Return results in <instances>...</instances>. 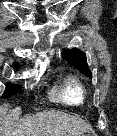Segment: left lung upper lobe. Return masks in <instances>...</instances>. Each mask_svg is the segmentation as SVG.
Here are the masks:
<instances>
[{
	"mask_svg": "<svg viewBox=\"0 0 117 136\" xmlns=\"http://www.w3.org/2000/svg\"><path fill=\"white\" fill-rule=\"evenodd\" d=\"M63 57L75 68L81 71L88 77H92L91 71L89 70L86 62V55L84 52L80 51L79 49H72V50H64Z\"/></svg>",
	"mask_w": 117,
	"mask_h": 136,
	"instance_id": "left-lung-upper-lobe-1",
	"label": "left lung upper lobe"
}]
</instances>
